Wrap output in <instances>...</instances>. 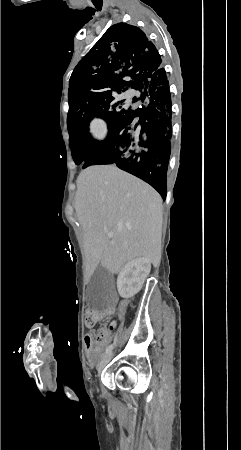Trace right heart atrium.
I'll list each match as a JSON object with an SVG mask.
<instances>
[{
	"label": "right heart atrium",
	"mask_w": 241,
	"mask_h": 450,
	"mask_svg": "<svg viewBox=\"0 0 241 450\" xmlns=\"http://www.w3.org/2000/svg\"><path fill=\"white\" fill-rule=\"evenodd\" d=\"M92 137L95 141L101 142L107 132V123L102 118H95L91 122Z\"/></svg>",
	"instance_id": "d8ad5b80"
}]
</instances>
